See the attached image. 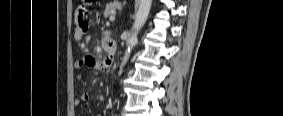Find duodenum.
I'll list each match as a JSON object with an SVG mask.
<instances>
[{"instance_id": "1", "label": "duodenum", "mask_w": 283, "mask_h": 116, "mask_svg": "<svg viewBox=\"0 0 283 116\" xmlns=\"http://www.w3.org/2000/svg\"><path fill=\"white\" fill-rule=\"evenodd\" d=\"M104 47H106L107 52L109 54V58L111 59L116 51L115 43L110 39H105L103 43ZM109 68H107L105 71H108Z\"/></svg>"}]
</instances>
